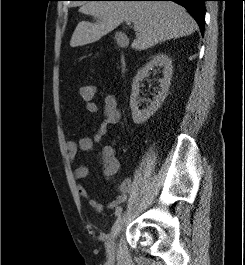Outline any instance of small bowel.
<instances>
[{"label":"small bowel","mask_w":245,"mask_h":265,"mask_svg":"<svg viewBox=\"0 0 245 265\" xmlns=\"http://www.w3.org/2000/svg\"><path fill=\"white\" fill-rule=\"evenodd\" d=\"M85 109L90 113H97L99 108L94 101L85 103ZM103 122L95 131L93 136H85L78 142L67 141L65 149L70 163H73L77 157L78 151L91 152L96 143H99L108 133L111 126L119 122L121 113L116 97L112 94H106L103 107ZM100 160L103 167V174L107 178H112L119 170V161L116 157L115 150L112 146H105L100 153ZM89 169L87 165L80 164L74 170L76 179H84L88 176ZM134 188L133 180L129 177L124 178L117 184L118 194L108 204L104 205L90 197L87 189L83 185H78L77 191L80 197L87 200L88 204L97 212L103 211L105 208L114 209L123 204Z\"/></svg>","instance_id":"obj_1"}]
</instances>
